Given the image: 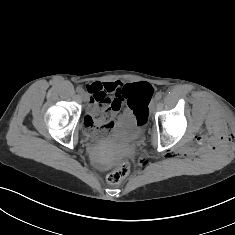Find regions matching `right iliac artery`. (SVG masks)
Segmentation results:
<instances>
[{"label": "right iliac artery", "mask_w": 235, "mask_h": 235, "mask_svg": "<svg viewBox=\"0 0 235 235\" xmlns=\"http://www.w3.org/2000/svg\"><path fill=\"white\" fill-rule=\"evenodd\" d=\"M76 91H77L78 93H82V92H83V89H82V87L78 86V87L76 88Z\"/></svg>", "instance_id": "1"}]
</instances>
